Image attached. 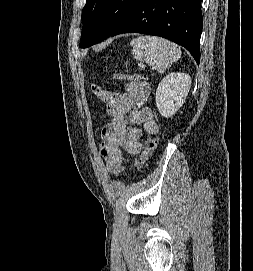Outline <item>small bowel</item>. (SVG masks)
<instances>
[{"label": "small bowel", "mask_w": 253, "mask_h": 271, "mask_svg": "<svg viewBox=\"0 0 253 271\" xmlns=\"http://www.w3.org/2000/svg\"><path fill=\"white\" fill-rule=\"evenodd\" d=\"M126 93L100 92L111 120L101 130V156L108 168L120 173L127 161L125 154L136 157L142 150L144 133L157 134L159 126L147 103L151 86L145 80L126 79Z\"/></svg>", "instance_id": "c3829d8e"}]
</instances>
